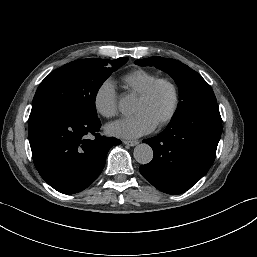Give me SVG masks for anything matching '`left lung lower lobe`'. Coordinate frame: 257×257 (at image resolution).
Instances as JSON below:
<instances>
[{
  "label": "left lung lower lobe",
  "instance_id": "1",
  "mask_svg": "<svg viewBox=\"0 0 257 257\" xmlns=\"http://www.w3.org/2000/svg\"><path fill=\"white\" fill-rule=\"evenodd\" d=\"M217 104L205 105L171 121L157 137L144 140L154 152L152 161L140 166L141 174L157 189L180 194L197 183L211 167L221 136Z\"/></svg>",
  "mask_w": 257,
  "mask_h": 257
}]
</instances>
